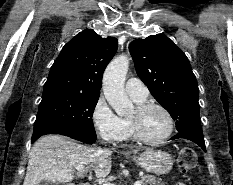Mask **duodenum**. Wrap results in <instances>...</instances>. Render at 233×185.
<instances>
[{
	"mask_svg": "<svg viewBox=\"0 0 233 185\" xmlns=\"http://www.w3.org/2000/svg\"><path fill=\"white\" fill-rule=\"evenodd\" d=\"M79 185H89V184H79Z\"/></svg>",
	"mask_w": 233,
	"mask_h": 185,
	"instance_id": "410a0bca",
	"label": "duodenum"
}]
</instances>
